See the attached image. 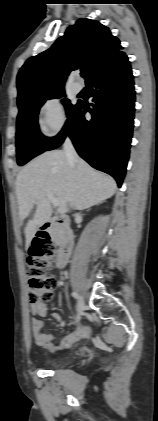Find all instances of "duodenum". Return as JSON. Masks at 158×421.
<instances>
[{
	"label": "duodenum",
	"instance_id": "obj_1",
	"mask_svg": "<svg viewBox=\"0 0 158 421\" xmlns=\"http://www.w3.org/2000/svg\"><path fill=\"white\" fill-rule=\"evenodd\" d=\"M53 228L60 231V247L56 258V266L62 268L66 265L71 256L74 245V235L67 220L61 216H55L48 219L41 226V234L46 235Z\"/></svg>",
	"mask_w": 158,
	"mask_h": 421
}]
</instances>
